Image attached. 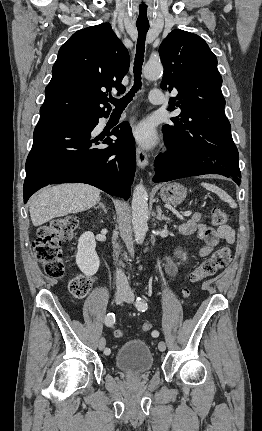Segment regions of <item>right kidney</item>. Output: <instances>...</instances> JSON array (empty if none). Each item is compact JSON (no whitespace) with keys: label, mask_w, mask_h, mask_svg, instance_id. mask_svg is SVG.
<instances>
[{"label":"right kidney","mask_w":262,"mask_h":431,"mask_svg":"<svg viewBox=\"0 0 262 431\" xmlns=\"http://www.w3.org/2000/svg\"><path fill=\"white\" fill-rule=\"evenodd\" d=\"M95 248L94 234L92 232L83 233L78 240L76 264L88 276L94 275L99 269L100 260Z\"/></svg>","instance_id":"1"}]
</instances>
